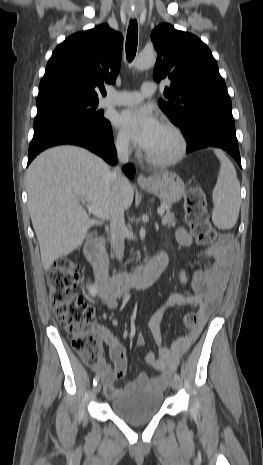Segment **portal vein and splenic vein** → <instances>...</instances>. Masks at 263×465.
<instances>
[{
	"label": "portal vein and splenic vein",
	"mask_w": 263,
	"mask_h": 465,
	"mask_svg": "<svg viewBox=\"0 0 263 465\" xmlns=\"http://www.w3.org/2000/svg\"><path fill=\"white\" fill-rule=\"evenodd\" d=\"M86 207H87L88 211L91 212L97 218H100V219L104 218L103 211H102V209L100 207H98L96 205H91V204H87ZM157 212H158L159 215H163L164 214V209L159 208Z\"/></svg>",
	"instance_id": "portal-vein-and-splenic-vein-1"
}]
</instances>
